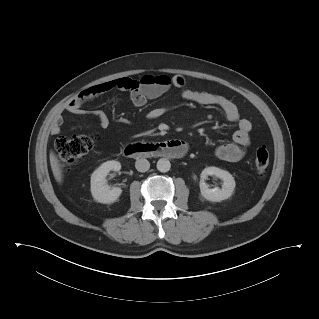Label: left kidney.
Masks as SVG:
<instances>
[{
	"mask_svg": "<svg viewBox=\"0 0 319 319\" xmlns=\"http://www.w3.org/2000/svg\"><path fill=\"white\" fill-rule=\"evenodd\" d=\"M216 176L223 180L222 189L213 188L210 189L205 180L208 176ZM201 180L199 183L201 195L212 202H221L230 198L235 189V180L233 176L225 170L217 167H207L201 173Z\"/></svg>",
	"mask_w": 319,
	"mask_h": 319,
	"instance_id": "1",
	"label": "left kidney"
}]
</instances>
